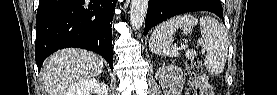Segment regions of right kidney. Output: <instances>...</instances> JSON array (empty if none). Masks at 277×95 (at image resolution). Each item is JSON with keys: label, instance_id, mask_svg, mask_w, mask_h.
Returning <instances> with one entry per match:
<instances>
[{"label": "right kidney", "instance_id": "1", "mask_svg": "<svg viewBox=\"0 0 277 95\" xmlns=\"http://www.w3.org/2000/svg\"><path fill=\"white\" fill-rule=\"evenodd\" d=\"M107 86L105 84H100L95 78H90L83 80L67 93L68 95H90V92L94 91L99 95L107 94Z\"/></svg>", "mask_w": 277, "mask_h": 95}]
</instances>
